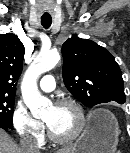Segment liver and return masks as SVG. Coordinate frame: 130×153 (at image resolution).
<instances>
[{
  "label": "liver",
  "instance_id": "obj_1",
  "mask_svg": "<svg viewBox=\"0 0 130 153\" xmlns=\"http://www.w3.org/2000/svg\"><path fill=\"white\" fill-rule=\"evenodd\" d=\"M0 153H22V150L16 145L11 137L0 128ZM58 153H68L66 150H60Z\"/></svg>",
  "mask_w": 130,
  "mask_h": 153
}]
</instances>
